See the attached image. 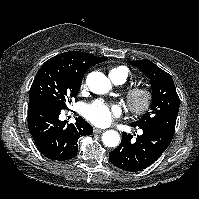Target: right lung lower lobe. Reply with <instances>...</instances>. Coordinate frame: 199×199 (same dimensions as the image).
I'll return each instance as SVG.
<instances>
[{
	"mask_svg": "<svg viewBox=\"0 0 199 199\" xmlns=\"http://www.w3.org/2000/svg\"><path fill=\"white\" fill-rule=\"evenodd\" d=\"M63 110L61 105L47 97L29 100V131L40 153L51 160L73 158L78 151L77 140L93 132L92 126L81 117L76 118L75 124L60 121L59 115Z\"/></svg>",
	"mask_w": 199,
	"mask_h": 199,
	"instance_id": "right-lung-lower-lobe-1",
	"label": "right lung lower lobe"
}]
</instances>
